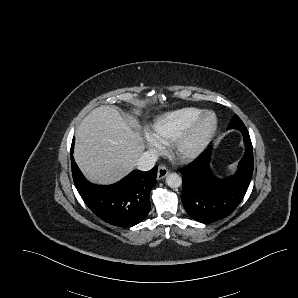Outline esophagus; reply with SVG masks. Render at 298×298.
<instances>
[{
  "mask_svg": "<svg viewBox=\"0 0 298 298\" xmlns=\"http://www.w3.org/2000/svg\"><path fill=\"white\" fill-rule=\"evenodd\" d=\"M167 174H168L167 168L163 165H159L157 179L162 180L164 177H166Z\"/></svg>",
  "mask_w": 298,
  "mask_h": 298,
  "instance_id": "1",
  "label": "esophagus"
}]
</instances>
